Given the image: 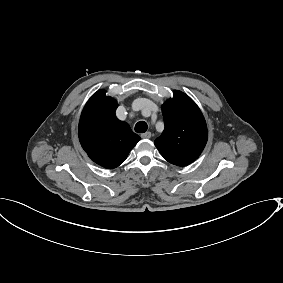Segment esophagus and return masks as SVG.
Returning <instances> with one entry per match:
<instances>
[{
    "label": "esophagus",
    "mask_w": 283,
    "mask_h": 283,
    "mask_svg": "<svg viewBox=\"0 0 283 283\" xmlns=\"http://www.w3.org/2000/svg\"><path fill=\"white\" fill-rule=\"evenodd\" d=\"M151 137V133L150 132H146L141 134V138L143 139H149Z\"/></svg>",
    "instance_id": "1"
}]
</instances>
